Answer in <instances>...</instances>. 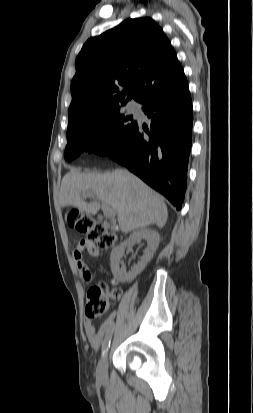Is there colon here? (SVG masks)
<instances>
[{
    "mask_svg": "<svg viewBox=\"0 0 253 413\" xmlns=\"http://www.w3.org/2000/svg\"><path fill=\"white\" fill-rule=\"evenodd\" d=\"M68 223L80 233L87 236V241L102 250L114 247L117 237L103 224L90 216L79 213L77 210L69 211ZM121 291L117 287H110L107 283L91 285L87 292L85 312L89 318H97L107 312L111 300H117Z\"/></svg>",
    "mask_w": 253,
    "mask_h": 413,
    "instance_id": "5ec220e1",
    "label": "colon"
}]
</instances>
